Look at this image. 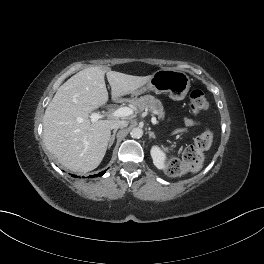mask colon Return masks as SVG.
Wrapping results in <instances>:
<instances>
[{"label":"colon","mask_w":264,"mask_h":264,"mask_svg":"<svg viewBox=\"0 0 264 264\" xmlns=\"http://www.w3.org/2000/svg\"><path fill=\"white\" fill-rule=\"evenodd\" d=\"M190 109L195 114L206 112L210 103L201 90H193L190 93ZM213 140V133L211 130H205L194 141V144L187 147L183 153L182 162L177 159H171L168 162V172L170 175L178 176L185 170L192 167L198 162L202 153L208 149Z\"/></svg>","instance_id":"1"}]
</instances>
